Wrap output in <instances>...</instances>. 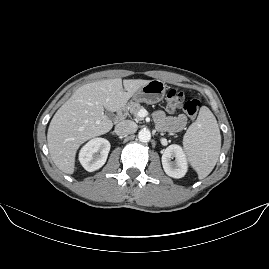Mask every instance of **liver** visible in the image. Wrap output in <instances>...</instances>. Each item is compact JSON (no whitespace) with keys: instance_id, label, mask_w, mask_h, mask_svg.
<instances>
[{"instance_id":"1","label":"liver","mask_w":269,"mask_h":269,"mask_svg":"<svg viewBox=\"0 0 269 269\" xmlns=\"http://www.w3.org/2000/svg\"><path fill=\"white\" fill-rule=\"evenodd\" d=\"M149 80H101L79 87L55 113L48 134L51 158L59 170L73 174L76 151L85 141L109 132L113 123L104 109L116 112ZM124 86V89H123Z\"/></svg>"}]
</instances>
